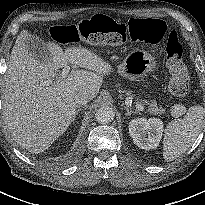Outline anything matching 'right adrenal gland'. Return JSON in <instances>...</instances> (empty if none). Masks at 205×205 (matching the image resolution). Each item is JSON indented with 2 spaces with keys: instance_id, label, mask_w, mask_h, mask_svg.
I'll list each match as a JSON object with an SVG mask.
<instances>
[{
  "instance_id": "2a0ac1e0",
  "label": "right adrenal gland",
  "mask_w": 205,
  "mask_h": 205,
  "mask_svg": "<svg viewBox=\"0 0 205 205\" xmlns=\"http://www.w3.org/2000/svg\"><path fill=\"white\" fill-rule=\"evenodd\" d=\"M80 110H81V109H78V110L76 111L75 118H76V116L78 115V113L80 112Z\"/></svg>"
}]
</instances>
